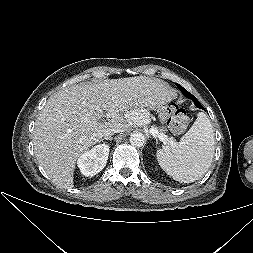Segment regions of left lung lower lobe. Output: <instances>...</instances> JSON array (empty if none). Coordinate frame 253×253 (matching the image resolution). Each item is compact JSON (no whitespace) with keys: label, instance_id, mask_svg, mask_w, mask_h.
Returning <instances> with one entry per match:
<instances>
[{"label":"left lung lower lobe","instance_id":"1","mask_svg":"<svg viewBox=\"0 0 253 253\" xmlns=\"http://www.w3.org/2000/svg\"><path fill=\"white\" fill-rule=\"evenodd\" d=\"M190 99L195 103V106H196V107L201 108V109H204V107L199 103V101L196 99V97H194V96L192 95Z\"/></svg>","mask_w":253,"mask_h":253}]
</instances>
